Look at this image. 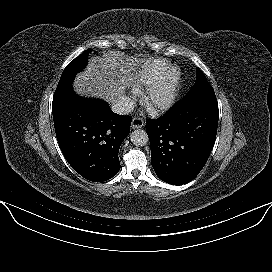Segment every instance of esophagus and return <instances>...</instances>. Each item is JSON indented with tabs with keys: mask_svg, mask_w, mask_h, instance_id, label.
<instances>
[{
	"mask_svg": "<svg viewBox=\"0 0 272 272\" xmlns=\"http://www.w3.org/2000/svg\"><path fill=\"white\" fill-rule=\"evenodd\" d=\"M144 126V121L140 117H135L132 120L131 127L133 129L142 128Z\"/></svg>",
	"mask_w": 272,
	"mask_h": 272,
	"instance_id": "34e87169",
	"label": "esophagus"
}]
</instances>
